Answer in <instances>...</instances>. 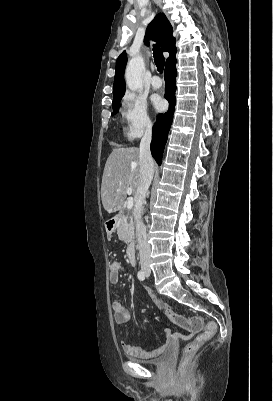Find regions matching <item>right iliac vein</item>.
<instances>
[{
	"label": "right iliac vein",
	"instance_id": "63e3f726",
	"mask_svg": "<svg viewBox=\"0 0 273 401\" xmlns=\"http://www.w3.org/2000/svg\"><path fill=\"white\" fill-rule=\"evenodd\" d=\"M142 269H143L144 271H146V270L148 269V265H147V264H144V265L142 266Z\"/></svg>",
	"mask_w": 273,
	"mask_h": 401
}]
</instances>
